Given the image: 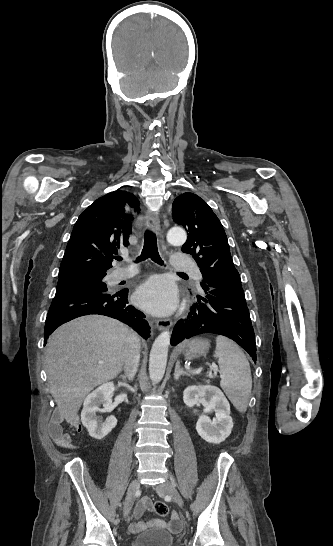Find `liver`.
Wrapping results in <instances>:
<instances>
[{"instance_id": "6515ba94", "label": "liver", "mask_w": 333, "mask_h": 546, "mask_svg": "<svg viewBox=\"0 0 333 546\" xmlns=\"http://www.w3.org/2000/svg\"><path fill=\"white\" fill-rule=\"evenodd\" d=\"M129 333L114 319L88 315L62 325L49 337L46 373L50 392L68 423H77L82 402L94 387L120 373Z\"/></svg>"}]
</instances>
